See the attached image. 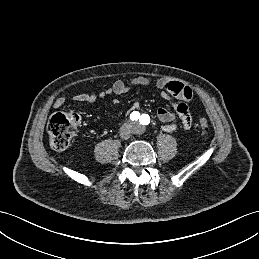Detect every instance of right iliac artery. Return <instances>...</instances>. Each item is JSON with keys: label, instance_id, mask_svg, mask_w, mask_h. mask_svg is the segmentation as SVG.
Segmentation results:
<instances>
[{"label": "right iliac artery", "instance_id": "obj_1", "mask_svg": "<svg viewBox=\"0 0 259 259\" xmlns=\"http://www.w3.org/2000/svg\"><path fill=\"white\" fill-rule=\"evenodd\" d=\"M139 117H140V113L137 111L132 112L130 115V119L132 121H137L139 119Z\"/></svg>", "mask_w": 259, "mask_h": 259}]
</instances>
